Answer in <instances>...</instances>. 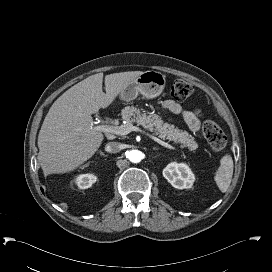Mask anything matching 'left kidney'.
Returning a JSON list of instances; mask_svg holds the SVG:
<instances>
[{
  "label": "left kidney",
  "mask_w": 272,
  "mask_h": 272,
  "mask_svg": "<svg viewBox=\"0 0 272 272\" xmlns=\"http://www.w3.org/2000/svg\"><path fill=\"white\" fill-rule=\"evenodd\" d=\"M164 178L177 189L191 188L195 176L189 166L185 163L172 162L163 169Z\"/></svg>",
  "instance_id": "obj_1"
}]
</instances>
